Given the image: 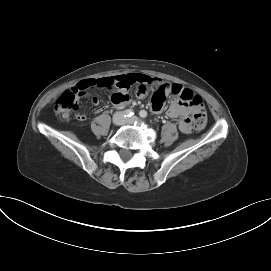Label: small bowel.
Returning a JSON list of instances; mask_svg holds the SVG:
<instances>
[{
  "mask_svg": "<svg viewBox=\"0 0 271 271\" xmlns=\"http://www.w3.org/2000/svg\"><path fill=\"white\" fill-rule=\"evenodd\" d=\"M93 85H97L101 89L108 88L111 90V100L119 107L128 105L131 102V97L128 94V89L131 86H137L136 95L140 99L146 97L149 87H155L157 91L150 102V108L155 113L162 112L164 104L167 101L166 95H173L176 98L171 102L167 110V115L170 118H179V129L182 133L189 134L193 130L190 115H195L197 109L195 106L182 100L184 94L192 95V92L180 84L166 83L159 78L151 77L143 73H126L97 80H83L73 88H80L82 86L91 87ZM92 102L94 105H98L100 100L95 96ZM78 118L84 119L85 115L81 114Z\"/></svg>",
  "mask_w": 271,
  "mask_h": 271,
  "instance_id": "obj_1",
  "label": "small bowel"
}]
</instances>
